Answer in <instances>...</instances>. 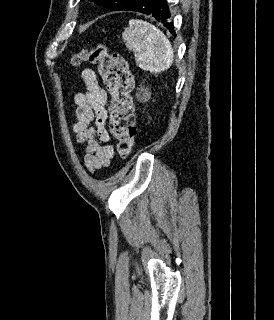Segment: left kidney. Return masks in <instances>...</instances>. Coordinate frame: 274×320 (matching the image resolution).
I'll list each match as a JSON object with an SVG mask.
<instances>
[{
	"mask_svg": "<svg viewBox=\"0 0 274 320\" xmlns=\"http://www.w3.org/2000/svg\"><path fill=\"white\" fill-rule=\"evenodd\" d=\"M144 94H148V92H144Z\"/></svg>",
	"mask_w": 274,
	"mask_h": 320,
	"instance_id": "obj_1",
	"label": "left kidney"
}]
</instances>
